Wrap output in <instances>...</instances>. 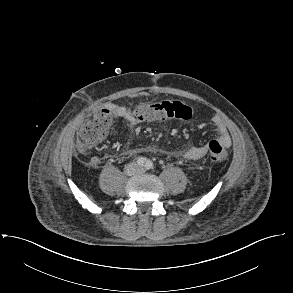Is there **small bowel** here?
Listing matches in <instances>:
<instances>
[{"instance_id": "1", "label": "small bowel", "mask_w": 293, "mask_h": 293, "mask_svg": "<svg viewBox=\"0 0 293 293\" xmlns=\"http://www.w3.org/2000/svg\"><path fill=\"white\" fill-rule=\"evenodd\" d=\"M106 108L111 111L113 116L124 119L131 126H136L142 122L141 120L136 118V116L128 108L122 105L111 103L108 104ZM212 123L217 130V138L215 139V141L220 143L223 147H229L231 145V137L226 125L219 118H214L212 120ZM208 144L209 143L201 146L191 147L183 153V156L188 160H198L208 153ZM98 163V157H93L91 159L92 165H97Z\"/></svg>"}]
</instances>
